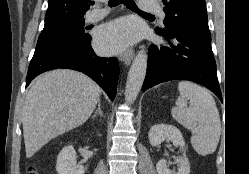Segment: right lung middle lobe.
<instances>
[{
  "instance_id": "obj_1",
  "label": "right lung middle lobe",
  "mask_w": 249,
  "mask_h": 174,
  "mask_svg": "<svg viewBox=\"0 0 249 174\" xmlns=\"http://www.w3.org/2000/svg\"><path fill=\"white\" fill-rule=\"evenodd\" d=\"M84 19H73L45 26L39 35L36 48L64 41H86L91 38L85 33Z\"/></svg>"
}]
</instances>
